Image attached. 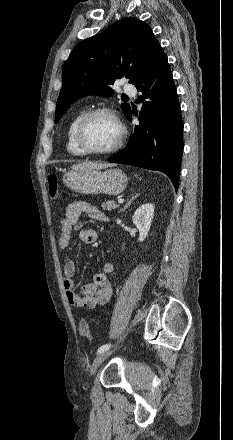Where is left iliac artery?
<instances>
[{"instance_id":"left-iliac-artery-1","label":"left iliac artery","mask_w":233,"mask_h":440,"mask_svg":"<svg viewBox=\"0 0 233 440\" xmlns=\"http://www.w3.org/2000/svg\"><path fill=\"white\" fill-rule=\"evenodd\" d=\"M110 347H111V344L102 345L101 347H99L98 353L104 352V351L108 350Z\"/></svg>"}]
</instances>
